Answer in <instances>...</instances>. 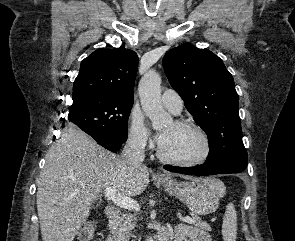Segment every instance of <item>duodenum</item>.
<instances>
[{
	"label": "duodenum",
	"instance_id": "1",
	"mask_svg": "<svg viewBox=\"0 0 295 241\" xmlns=\"http://www.w3.org/2000/svg\"><path fill=\"white\" fill-rule=\"evenodd\" d=\"M105 213L107 220L109 222V241H124V239L118 235L115 226L119 218V210L114 206H107ZM157 241H168V237L166 235H162L159 238H157Z\"/></svg>",
	"mask_w": 295,
	"mask_h": 241
}]
</instances>
